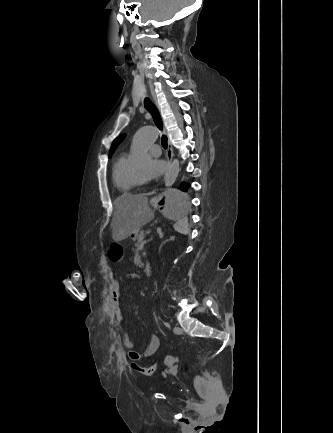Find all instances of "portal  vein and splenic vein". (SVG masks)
<instances>
[{
	"label": "portal vein and splenic vein",
	"instance_id": "obj_1",
	"mask_svg": "<svg viewBox=\"0 0 333 433\" xmlns=\"http://www.w3.org/2000/svg\"><path fill=\"white\" fill-rule=\"evenodd\" d=\"M157 233L159 234V236L162 238L163 234L161 233V229L157 228ZM147 241H143V244H145Z\"/></svg>",
	"mask_w": 333,
	"mask_h": 433
}]
</instances>
